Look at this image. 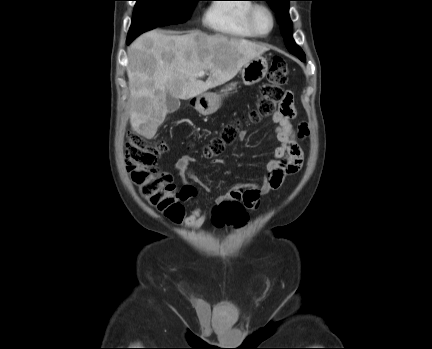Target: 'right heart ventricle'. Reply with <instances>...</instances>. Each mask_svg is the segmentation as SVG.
<instances>
[{"label": "right heart ventricle", "instance_id": "e07e8e85", "mask_svg": "<svg viewBox=\"0 0 432 349\" xmlns=\"http://www.w3.org/2000/svg\"><path fill=\"white\" fill-rule=\"evenodd\" d=\"M230 1L234 3H228ZM251 0H215L205 13L204 22L212 31L236 39L256 37L248 28L246 17Z\"/></svg>", "mask_w": 432, "mask_h": 349}]
</instances>
